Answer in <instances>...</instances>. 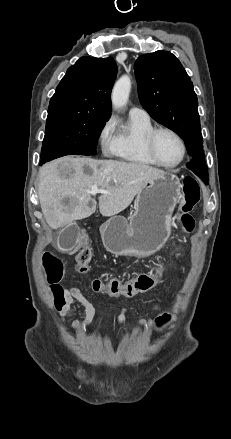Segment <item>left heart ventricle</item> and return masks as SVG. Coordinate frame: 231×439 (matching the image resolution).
<instances>
[{"mask_svg":"<svg viewBox=\"0 0 231 439\" xmlns=\"http://www.w3.org/2000/svg\"><path fill=\"white\" fill-rule=\"evenodd\" d=\"M155 149L160 160L166 164H174L181 157V146L178 140L167 132L158 134Z\"/></svg>","mask_w":231,"mask_h":439,"instance_id":"obj_1","label":"left heart ventricle"}]
</instances>
